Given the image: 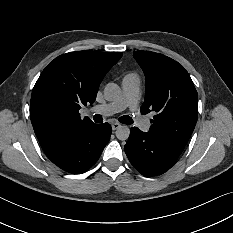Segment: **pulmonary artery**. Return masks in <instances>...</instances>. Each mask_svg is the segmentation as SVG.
<instances>
[{"label":"pulmonary artery","instance_id":"e3ab8cb5","mask_svg":"<svg viewBox=\"0 0 233 233\" xmlns=\"http://www.w3.org/2000/svg\"><path fill=\"white\" fill-rule=\"evenodd\" d=\"M122 89L123 96L120 100L97 106L93 108L92 111L104 115H112L129 107L130 110L135 113L140 95V80L138 78L124 79L122 82ZM138 125L143 132H148L150 129V123L147 120H140Z\"/></svg>","mask_w":233,"mask_h":233}]
</instances>
